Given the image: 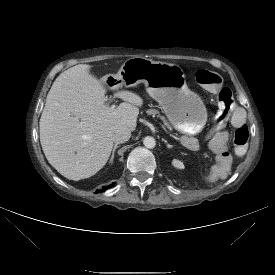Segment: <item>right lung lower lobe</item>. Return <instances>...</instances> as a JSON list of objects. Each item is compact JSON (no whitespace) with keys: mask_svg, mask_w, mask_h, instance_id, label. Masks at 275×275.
I'll list each match as a JSON object with an SVG mask.
<instances>
[{"mask_svg":"<svg viewBox=\"0 0 275 275\" xmlns=\"http://www.w3.org/2000/svg\"><path fill=\"white\" fill-rule=\"evenodd\" d=\"M114 185H115V183H112V184H110L109 186H106V187L104 186L101 190H97L95 193H101V192L111 188Z\"/></svg>","mask_w":275,"mask_h":275,"instance_id":"right-lung-lower-lobe-1","label":"right lung lower lobe"}]
</instances>
